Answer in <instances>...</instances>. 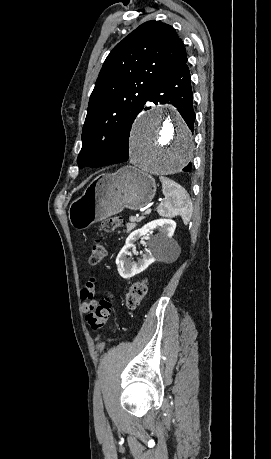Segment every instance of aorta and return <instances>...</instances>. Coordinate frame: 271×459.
Returning a JSON list of instances; mask_svg holds the SVG:
<instances>
[{
    "instance_id": "aorta-1",
    "label": "aorta",
    "mask_w": 271,
    "mask_h": 459,
    "mask_svg": "<svg viewBox=\"0 0 271 459\" xmlns=\"http://www.w3.org/2000/svg\"><path fill=\"white\" fill-rule=\"evenodd\" d=\"M193 148L186 124L168 111L156 108L136 122L130 159L143 173L164 176L181 171L192 160Z\"/></svg>"
}]
</instances>
